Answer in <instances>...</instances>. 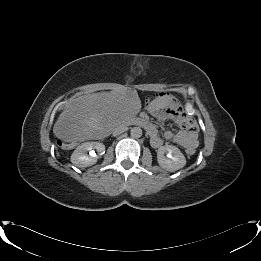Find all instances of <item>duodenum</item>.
I'll use <instances>...</instances> for the list:
<instances>
[{
    "label": "duodenum",
    "instance_id": "1",
    "mask_svg": "<svg viewBox=\"0 0 261 261\" xmlns=\"http://www.w3.org/2000/svg\"><path fill=\"white\" fill-rule=\"evenodd\" d=\"M136 123H138V124H140V125H142V126H145L146 124H147V121L145 120V119H138L137 121H136Z\"/></svg>",
    "mask_w": 261,
    "mask_h": 261
}]
</instances>
